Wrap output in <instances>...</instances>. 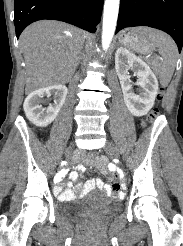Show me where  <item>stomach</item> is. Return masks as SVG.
<instances>
[{
  "label": "stomach",
  "instance_id": "1",
  "mask_svg": "<svg viewBox=\"0 0 183 246\" xmlns=\"http://www.w3.org/2000/svg\"><path fill=\"white\" fill-rule=\"evenodd\" d=\"M146 30V28L126 29L120 34L119 41L135 51L146 53L152 47L145 35Z\"/></svg>",
  "mask_w": 183,
  "mask_h": 246
}]
</instances>
